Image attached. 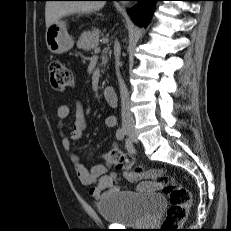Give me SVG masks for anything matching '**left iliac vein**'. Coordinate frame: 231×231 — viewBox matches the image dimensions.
I'll return each instance as SVG.
<instances>
[{"instance_id": "4c4485c4", "label": "left iliac vein", "mask_w": 231, "mask_h": 231, "mask_svg": "<svg viewBox=\"0 0 231 231\" xmlns=\"http://www.w3.org/2000/svg\"><path fill=\"white\" fill-rule=\"evenodd\" d=\"M130 140L134 143H137L138 142V139L136 137V135L133 133L132 135H130Z\"/></svg>"}]
</instances>
